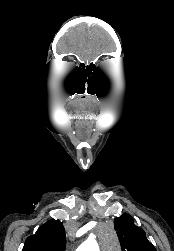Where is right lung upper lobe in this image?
I'll return each instance as SVG.
<instances>
[{"label": "right lung upper lobe", "mask_w": 174, "mask_h": 251, "mask_svg": "<svg viewBox=\"0 0 174 251\" xmlns=\"http://www.w3.org/2000/svg\"><path fill=\"white\" fill-rule=\"evenodd\" d=\"M65 230L59 220H48L29 236L22 251H65Z\"/></svg>", "instance_id": "cb5924a9"}]
</instances>
